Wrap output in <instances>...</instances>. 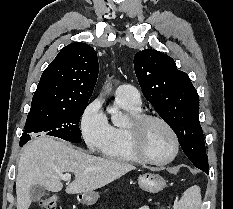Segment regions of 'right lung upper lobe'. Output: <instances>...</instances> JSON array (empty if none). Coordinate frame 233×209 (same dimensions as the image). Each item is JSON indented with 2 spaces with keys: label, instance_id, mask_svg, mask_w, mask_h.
I'll return each mask as SVG.
<instances>
[{
  "label": "right lung upper lobe",
  "instance_id": "cb5924a9",
  "mask_svg": "<svg viewBox=\"0 0 233 209\" xmlns=\"http://www.w3.org/2000/svg\"><path fill=\"white\" fill-rule=\"evenodd\" d=\"M96 51L82 42L63 47L44 70L31 108L65 109L88 103L97 80Z\"/></svg>",
  "mask_w": 233,
  "mask_h": 209
}]
</instances>
